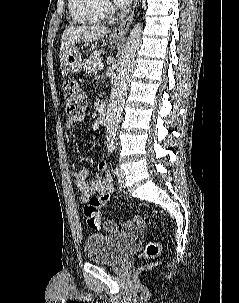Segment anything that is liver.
Returning a JSON list of instances; mask_svg holds the SVG:
<instances>
[{
  "label": "liver",
  "mask_w": 239,
  "mask_h": 303,
  "mask_svg": "<svg viewBox=\"0 0 239 303\" xmlns=\"http://www.w3.org/2000/svg\"><path fill=\"white\" fill-rule=\"evenodd\" d=\"M109 32L108 28L101 25L68 27L62 35L60 53L71 48L75 43L97 41L107 36Z\"/></svg>",
  "instance_id": "obj_1"
}]
</instances>
